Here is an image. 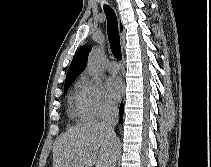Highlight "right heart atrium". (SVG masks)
Returning <instances> with one entry per match:
<instances>
[{"label":"right heart atrium","mask_w":211,"mask_h":167,"mask_svg":"<svg viewBox=\"0 0 211 167\" xmlns=\"http://www.w3.org/2000/svg\"><path fill=\"white\" fill-rule=\"evenodd\" d=\"M82 101L92 119H102L115 111V105L107 98L99 82L84 76L80 82Z\"/></svg>","instance_id":"obj_1"}]
</instances>
